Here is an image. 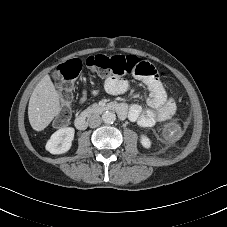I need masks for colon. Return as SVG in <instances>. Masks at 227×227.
<instances>
[{"label":"colon","mask_w":227,"mask_h":227,"mask_svg":"<svg viewBox=\"0 0 227 227\" xmlns=\"http://www.w3.org/2000/svg\"><path fill=\"white\" fill-rule=\"evenodd\" d=\"M85 64L90 70L105 76L133 73L141 77L158 78L161 75V72L152 64L142 61L133 55H92L86 59ZM82 66L80 59H72L58 69L60 96L66 108L54 121V126L57 128L64 127L71 118L72 112L68 104L73 98L75 79L82 70Z\"/></svg>","instance_id":"5ec220e1"}]
</instances>
